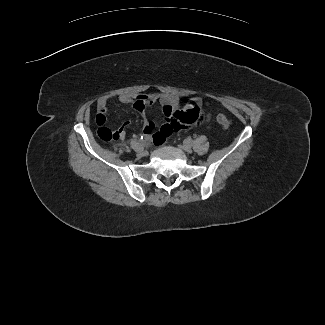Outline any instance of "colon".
<instances>
[{
	"instance_id": "colon-1",
	"label": "colon",
	"mask_w": 325,
	"mask_h": 325,
	"mask_svg": "<svg viewBox=\"0 0 325 325\" xmlns=\"http://www.w3.org/2000/svg\"><path fill=\"white\" fill-rule=\"evenodd\" d=\"M218 123L224 128H228L230 126V120L223 114L217 115ZM98 136L104 141L116 140L119 138V131L112 130L106 127H100L98 129Z\"/></svg>"
}]
</instances>
